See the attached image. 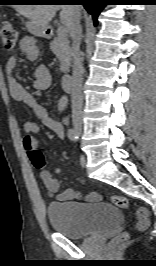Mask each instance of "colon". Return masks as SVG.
Returning a JSON list of instances; mask_svg holds the SVG:
<instances>
[{"instance_id": "5ec220e1", "label": "colon", "mask_w": 156, "mask_h": 266, "mask_svg": "<svg viewBox=\"0 0 156 266\" xmlns=\"http://www.w3.org/2000/svg\"><path fill=\"white\" fill-rule=\"evenodd\" d=\"M0 36L4 47L11 51L14 49L17 41V30L14 25L10 22H4L1 27ZM29 158L34 165V167L41 169L45 167V159L43 154L39 150H34L30 152ZM58 171V170H57ZM111 202L122 209H127L129 207L128 200L120 195H111ZM149 226V214L148 211L141 207L136 211V228L138 230H145ZM127 238V234H122L117 238V240H123Z\"/></svg>"}]
</instances>
